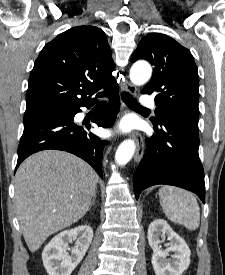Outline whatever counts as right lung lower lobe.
I'll list each match as a JSON object with an SVG mask.
<instances>
[{"label":"right lung lower lobe","mask_w":225,"mask_h":275,"mask_svg":"<svg viewBox=\"0 0 225 275\" xmlns=\"http://www.w3.org/2000/svg\"><path fill=\"white\" fill-rule=\"evenodd\" d=\"M110 100L103 111L92 121L101 127H110L119 111L118 88L106 94ZM93 102L86 106L90 108ZM64 107L24 115V131L18 147L16 169L29 155L46 149L63 150L87 161L102 177V154L107 141L88 133L73 122L80 107ZM90 128L91 125H86Z\"/></svg>","instance_id":"98d812e1"}]
</instances>
